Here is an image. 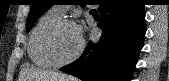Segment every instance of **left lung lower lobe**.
Returning <instances> with one entry per match:
<instances>
[{
    "mask_svg": "<svg viewBox=\"0 0 169 81\" xmlns=\"http://www.w3.org/2000/svg\"><path fill=\"white\" fill-rule=\"evenodd\" d=\"M98 10L99 42H89L79 59L60 70L83 81H130L146 32L144 4L100 0Z\"/></svg>",
    "mask_w": 169,
    "mask_h": 81,
    "instance_id": "1",
    "label": "left lung lower lobe"
}]
</instances>
